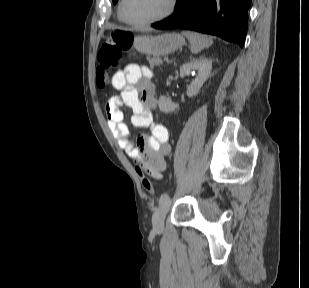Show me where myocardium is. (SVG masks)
<instances>
[{
  "label": "myocardium",
  "mask_w": 309,
  "mask_h": 288,
  "mask_svg": "<svg viewBox=\"0 0 309 288\" xmlns=\"http://www.w3.org/2000/svg\"><path fill=\"white\" fill-rule=\"evenodd\" d=\"M125 2H126V0H120L119 10H118L119 16L126 24H128L132 27H137V28L151 26V25L157 24V23L169 18L171 15L174 14V12L176 11L177 6H178V0H169L168 9L164 13H162L161 15H159L155 18L149 19V20L135 22V21H131L130 19H128L126 17L125 12H124Z\"/></svg>",
  "instance_id": "f54148a6"
}]
</instances>
